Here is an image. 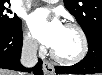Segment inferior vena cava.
Masks as SVG:
<instances>
[{
  "mask_svg": "<svg viewBox=\"0 0 102 75\" xmlns=\"http://www.w3.org/2000/svg\"><path fill=\"white\" fill-rule=\"evenodd\" d=\"M37 49L38 44L35 40L31 38H26L24 40L20 59L23 66L31 68L37 64Z\"/></svg>",
  "mask_w": 102,
  "mask_h": 75,
  "instance_id": "obj_1",
  "label": "inferior vena cava"
}]
</instances>
